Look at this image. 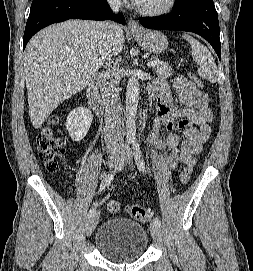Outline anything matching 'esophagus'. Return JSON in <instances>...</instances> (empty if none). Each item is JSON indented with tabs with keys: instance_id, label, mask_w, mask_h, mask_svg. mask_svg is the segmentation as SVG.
<instances>
[{
	"instance_id": "1",
	"label": "esophagus",
	"mask_w": 253,
	"mask_h": 271,
	"mask_svg": "<svg viewBox=\"0 0 253 271\" xmlns=\"http://www.w3.org/2000/svg\"><path fill=\"white\" fill-rule=\"evenodd\" d=\"M128 29L132 32V33H139L141 32V28L138 24V22L132 18H130L128 20Z\"/></svg>"
}]
</instances>
